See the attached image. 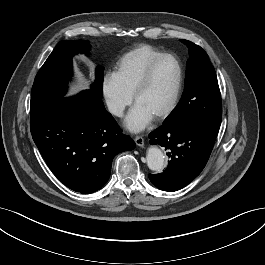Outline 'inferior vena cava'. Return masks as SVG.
<instances>
[{
	"label": "inferior vena cava",
	"mask_w": 265,
	"mask_h": 265,
	"mask_svg": "<svg viewBox=\"0 0 265 265\" xmlns=\"http://www.w3.org/2000/svg\"><path fill=\"white\" fill-rule=\"evenodd\" d=\"M109 112L112 113L113 115L116 116H122L123 115V111H124V107L121 105H118L116 103L113 102H108L107 103Z\"/></svg>",
	"instance_id": "602c4592"
}]
</instances>
